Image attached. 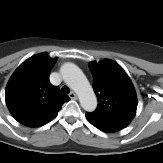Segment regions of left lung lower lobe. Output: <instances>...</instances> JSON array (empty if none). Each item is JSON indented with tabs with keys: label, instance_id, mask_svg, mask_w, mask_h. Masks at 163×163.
<instances>
[{
	"label": "left lung lower lobe",
	"instance_id": "0a47b994",
	"mask_svg": "<svg viewBox=\"0 0 163 163\" xmlns=\"http://www.w3.org/2000/svg\"><path fill=\"white\" fill-rule=\"evenodd\" d=\"M87 119L99 130L103 132H117L125 128L129 123L126 122H111L95 120L86 115Z\"/></svg>",
	"mask_w": 163,
	"mask_h": 163
}]
</instances>
